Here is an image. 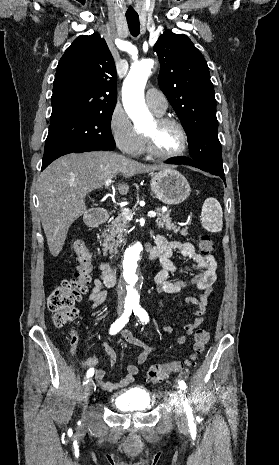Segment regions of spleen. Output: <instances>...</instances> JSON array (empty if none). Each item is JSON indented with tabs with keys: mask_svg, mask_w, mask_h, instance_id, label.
Wrapping results in <instances>:
<instances>
[{
	"mask_svg": "<svg viewBox=\"0 0 279 465\" xmlns=\"http://www.w3.org/2000/svg\"><path fill=\"white\" fill-rule=\"evenodd\" d=\"M202 225L210 232H219L223 227V212L220 203L214 198L205 200L202 206Z\"/></svg>",
	"mask_w": 279,
	"mask_h": 465,
	"instance_id": "obj_1",
	"label": "spleen"
}]
</instances>
